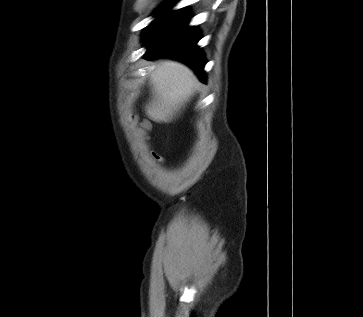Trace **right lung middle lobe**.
Segmentation results:
<instances>
[{"mask_svg":"<svg viewBox=\"0 0 363 317\" xmlns=\"http://www.w3.org/2000/svg\"><path fill=\"white\" fill-rule=\"evenodd\" d=\"M176 2H169V3H167V4H164L163 6H161L157 11H156V13H164L165 11H167L168 9H170L174 4H175ZM161 17H163V16H161ZM160 17V18H161ZM159 18V19H160ZM159 19H157V20H155L153 23H151L148 27H147V29H146V32L159 20Z\"/></svg>","mask_w":363,"mask_h":317,"instance_id":"right-lung-middle-lobe-1","label":"right lung middle lobe"}]
</instances>
